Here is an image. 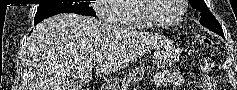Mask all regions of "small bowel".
I'll list each match as a JSON object with an SVG mask.
<instances>
[{
    "label": "small bowel",
    "instance_id": "1",
    "mask_svg": "<svg viewBox=\"0 0 237 90\" xmlns=\"http://www.w3.org/2000/svg\"><path fill=\"white\" fill-rule=\"evenodd\" d=\"M202 72L208 74L212 70V64L205 62L200 65ZM154 84L160 88L172 87L174 90H178L184 83L183 77L174 71L161 70L154 76ZM215 79L207 75L202 81L203 90H217Z\"/></svg>",
    "mask_w": 237,
    "mask_h": 90
}]
</instances>
